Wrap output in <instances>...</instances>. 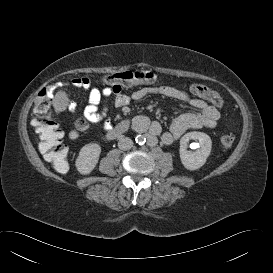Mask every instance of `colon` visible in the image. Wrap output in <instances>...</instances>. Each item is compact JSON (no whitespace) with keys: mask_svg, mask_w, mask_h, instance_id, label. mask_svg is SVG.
Instances as JSON below:
<instances>
[{"mask_svg":"<svg viewBox=\"0 0 273 273\" xmlns=\"http://www.w3.org/2000/svg\"><path fill=\"white\" fill-rule=\"evenodd\" d=\"M158 77L156 73L149 70L125 71L107 75L103 78L106 85L116 88L129 87L138 84H154ZM193 92L205 98L213 106L221 108L223 106L222 97L214 90L204 85L193 84ZM53 95L47 89L42 90L35 102V117L32 126L35 128L40 138V151L46 161L52 164L56 171L65 173L68 170L66 160L67 150L63 142V134L59 125L50 117V107ZM88 128L85 120L79 119L72 130V135L79 134ZM234 143L232 135L226 134L220 138V144L224 148H231Z\"/></svg>","mask_w":273,"mask_h":273,"instance_id":"1","label":"colon"}]
</instances>
